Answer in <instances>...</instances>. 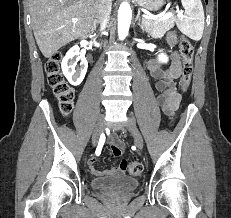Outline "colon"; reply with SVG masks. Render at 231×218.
<instances>
[{
  "label": "colon",
  "mask_w": 231,
  "mask_h": 218,
  "mask_svg": "<svg viewBox=\"0 0 231 218\" xmlns=\"http://www.w3.org/2000/svg\"><path fill=\"white\" fill-rule=\"evenodd\" d=\"M179 51L182 58L181 86L183 90H187L192 75L194 49L190 40L185 36H181L180 38ZM61 60L62 54L55 53L46 62L45 70L48 77V83L59 100L60 110L63 114L67 115L71 112L73 107L74 92L61 73ZM111 151L116 157L122 155V148L118 145H111ZM121 165L133 176L141 174L143 169L141 163L137 161L128 162L122 160Z\"/></svg>",
  "instance_id": "5ec220e1"
}]
</instances>
